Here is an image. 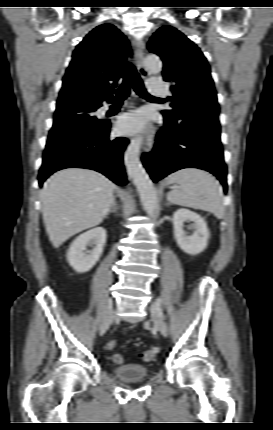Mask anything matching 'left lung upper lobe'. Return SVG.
Instances as JSON below:
<instances>
[{"instance_id": "1", "label": "left lung upper lobe", "mask_w": 273, "mask_h": 430, "mask_svg": "<svg viewBox=\"0 0 273 430\" xmlns=\"http://www.w3.org/2000/svg\"><path fill=\"white\" fill-rule=\"evenodd\" d=\"M150 52L161 57L163 78L172 84V110L163 111L178 123L202 114L218 119L219 105L210 67L200 49L171 26L159 28L148 43Z\"/></svg>"}]
</instances>
